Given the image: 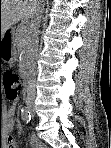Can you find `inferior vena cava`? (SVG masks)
I'll return each mask as SVG.
<instances>
[{
    "mask_svg": "<svg viewBox=\"0 0 111 148\" xmlns=\"http://www.w3.org/2000/svg\"><path fill=\"white\" fill-rule=\"evenodd\" d=\"M41 2L44 0H39L38 5L31 16L29 31H30V53H31V72L28 79L27 86V97L28 101H33L36 97V59L38 56V44H39V28L42 20V13L44 10V6H42Z\"/></svg>",
    "mask_w": 111,
    "mask_h": 148,
    "instance_id": "obj_1",
    "label": "inferior vena cava"
}]
</instances>
